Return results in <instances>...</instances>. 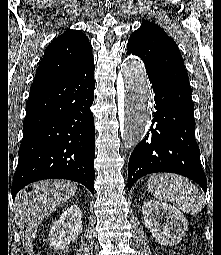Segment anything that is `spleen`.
Here are the masks:
<instances>
[{"instance_id":"obj_1","label":"spleen","mask_w":221,"mask_h":255,"mask_svg":"<svg viewBox=\"0 0 221 255\" xmlns=\"http://www.w3.org/2000/svg\"><path fill=\"white\" fill-rule=\"evenodd\" d=\"M148 190L163 201L172 202L187 214L202 211L205 199L189 180L171 173H157L149 176Z\"/></svg>"}]
</instances>
